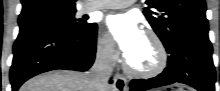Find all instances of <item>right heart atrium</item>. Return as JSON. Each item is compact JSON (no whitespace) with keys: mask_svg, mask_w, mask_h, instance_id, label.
<instances>
[{"mask_svg":"<svg viewBox=\"0 0 220 91\" xmlns=\"http://www.w3.org/2000/svg\"><path fill=\"white\" fill-rule=\"evenodd\" d=\"M96 52L98 58L105 63H113L116 59V50L112 39L100 32L96 39Z\"/></svg>","mask_w":220,"mask_h":91,"instance_id":"1","label":"right heart atrium"}]
</instances>
